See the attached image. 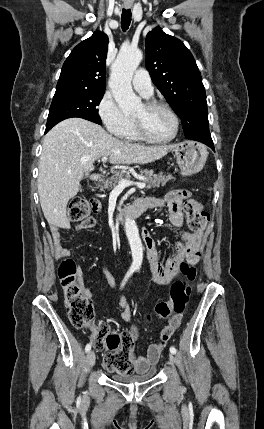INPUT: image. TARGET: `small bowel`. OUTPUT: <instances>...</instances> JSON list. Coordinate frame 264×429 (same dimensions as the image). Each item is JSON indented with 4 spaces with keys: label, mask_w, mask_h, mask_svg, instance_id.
I'll list each match as a JSON object with an SVG mask.
<instances>
[{
    "label": "small bowel",
    "mask_w": 264,
    "mask_h": 429,
    "mask_svg": "<svg viewBox=\"0 0 264 429\" xmlns=\"http://www.w3.org/2000/svg\"><path fill=\"white\" fill-rule=\"evenodd\" d=\"M191 198V193L187 190H174L166 195L165 198H155L148 197L145 199L138 200L136 203H144L147 205L148 209H158L163 207H168L170 209V223L174 227H180L183 224V204ZM96 220L93 217L87 218L80 222L77 226V230H86L94 227ZM53 243L56 252L60 256H67L68 250L64 247L61 233L58 228L53 229L52 231ZM143 241L147 247V258L149 262V270L152 276V279L155 282L160 284H168L173 277L179 271V265L183 261L184 257L192 249H198L201 243L202 235L200 233H195L191 231H184L181 237V240L174 244V254L168 257L165 261L162 260L161 251L157 247L156 242L152 238L148 230H143L142 232ZM105 276L111 282L110 274L103 270ZM78 282L80 283L84 293L89 296L91 291L90 288L84 285L83 273L78 270ZM121 312L120 316L123 321L129 322L132 318V309L126 300L120 298ZM182 314H175L168 326H166L161 334L169 332L167 337L163 341L158 343L151 344L146 352V355H139L135 357L133 362V372L145 373L152 366H154L159 359V356L162 350L165 348L168 340L174 333V331L180 325ZM133 340H136L139 336V327L134 325L128 332ZM104 367L106 365L104 363Z\"/></svg>",
    "instance_id": "small-bowel-1"
}]
</instances>
